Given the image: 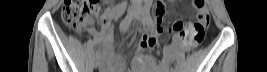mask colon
I'll return each mask as SVG.
<instances>
[{
  "label": "colon",
  "mask_w": 267,
  "mask_h": 72,
  "mask_svg": "<svg viewBox=\"0 0 267 72\" xmlns=\"http://www.w3.org/2000/svg\"><path fill=\"white\" fill-rule=\"evenodd\" d=\"M100 0H65L62 8V19L70 28L79 32L93 16L100 13ZM192 5L197 12V22L184 26L175 22L173 29L183 38L186 49L198 46L204 39L205 31L209 24V13L205 0H192ZM111 23H106V28H111Z\"/></svg>",
  "instance_id": "obj_1"
}]
</instances>
